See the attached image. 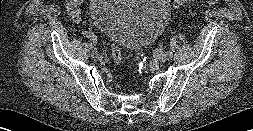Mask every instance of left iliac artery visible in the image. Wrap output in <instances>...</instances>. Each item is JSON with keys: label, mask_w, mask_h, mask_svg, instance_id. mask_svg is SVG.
<instances>
[{"label": "left iliac artery", "mask_w": 253, "mask_h": 131, "mask_svg": "<svg viewBox=\"0 0 253 131\" xmlns=\"http://www.w3.org/2000/svg\"><path fill=\"white\" fill-rule=\"evenodd\" d=\"M156 51H157L158 53H161V52L169 53V52H170V49H169V48L162 47V46H158V47L156 48Z\"/></svg>", "instance_id": "44dca946"}]
</instances>
